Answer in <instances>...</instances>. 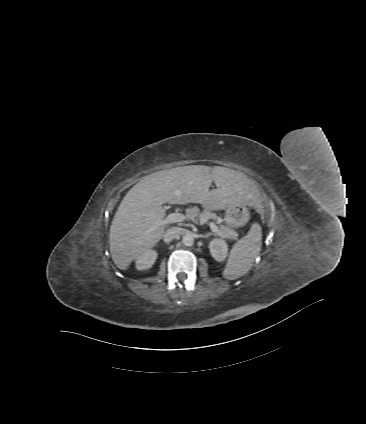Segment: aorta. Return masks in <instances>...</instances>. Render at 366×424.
Wrapping results in <instances>:
<instances>
[{
  "mask_svg": "<svg viewBox=\"0 0 366 424\" xmlns=\"http://www.w3.org/2000/svg\"><path fill=\"white\" fill-rule=\"evenodd\" d=\"M182 242L185 246H192L194 243V237L191 233H187L183 236Z\"/></svg>",
  "mask_w": 366,
  "mask_h": 424,
  "instance_id": "762f6f07",
  "label": "aorta"
}]
</instances>
